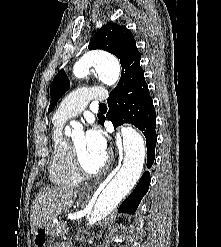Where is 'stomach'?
<instances>
[{
  "instance_id": "0dacf381",
  "label": "stomach",
  "mask_w": 221,
  "mask_h": 247,
  "mask_svg": "<svg viewBox=\"0 0 221 247\" xmlns=\"http://www.w3.org/2000/svg\"><path fill=\"white\" fill-rule=\"evenodd\" d=\"M87 199L85 194H79V200L84 201ZM32 240L34 247H52V243L55 238V234L52 228V224H43L37 227L32 232Z\"/></svg>"
}]
</instances>
